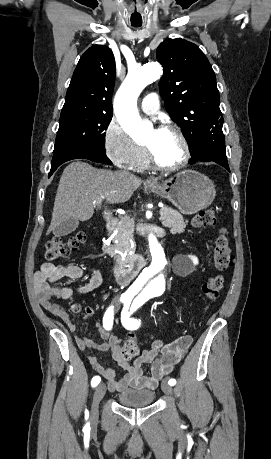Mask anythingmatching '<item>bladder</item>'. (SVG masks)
Listing matches in <instances>:
<instances>
[{
	"mask_svg": "<svg viewBox=\"0 0 271 459\" xmlns=\"http://www.w3.org/2000/svg\"><path fill=\"white\" fill-rule=\"evenodd\" d=\"M154 392L151 390L133 389L127 392H121L119 395V404L141 406L152 403Z\"/></svg>",
	"mask_w": 271,
	"mask_h": 459,
	"instance_id": "1",
	"label": "bladder"
}]
</instances>
